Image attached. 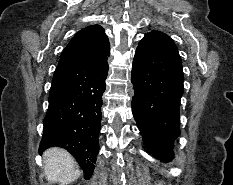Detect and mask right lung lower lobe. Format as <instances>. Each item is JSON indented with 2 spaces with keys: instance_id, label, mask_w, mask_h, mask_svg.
<instances>
[{
  "instance_id": "right-lung-lower-lobe-1",
  "label": "right lung lower lobe",
  "mask_w": 233,
  "mask_h": 185,
  "mask_svg": "<svg viewBox=\"0 0 233 185\" xmlns=\"http://www.w3.org/2000/svg\"><path fill=\"white\" fill-rule=\"evenodd\" d=\"M108 62L58 67L52 79L39 152L52 146L70 152L89 178L99 151L102 94Z\"/></svg>"
}]
</instances>
